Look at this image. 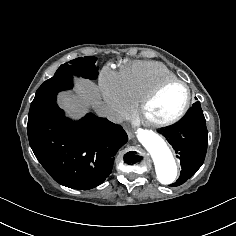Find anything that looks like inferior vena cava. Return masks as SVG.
Here are the masks:
<instances>
[{
    "mask_svg": "<svg viewBox=\"0 0 236 236\" xmlns=\"http://www.w3.org/2000/svg\"><path fill=\"white\" fill-rule=\"evenodd\" d=\"M94 111L96 112V114L100 117H105L108 118L110 121L114 122V116L115 114L113 113V111L109 108H106L100 104L95 105L94 106Z\"/></svg>",
    "mask_w": 236,
    "mask_h": 236,
    "instance_id": "1",
    "label": "inferior vena cava"
}]
</instances>
